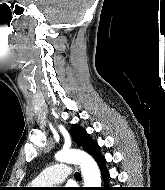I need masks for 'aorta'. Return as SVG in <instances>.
Here are the masks:
<instances>
[{
    "label": "aorta",
    "mask_w": 165,
    "mask_h": 190,
    "mask_svg": "<svg viewBox=\"0 0 165 190\" xmlns=\"http://www.w3.org/2000/svg\"><path fill=\"white\" fill-rule=\"evenodd\" d=\"M55 158L59 162L75 163L81 167L85 187H100L101 176L95 160L80 150H61Z\"/></svg>",
    "instance_id": "762f6f07"
}]
</instances>
